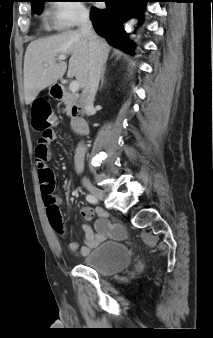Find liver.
Returning <instances> with one entry per match:
<instances>
[{"mask_svg": "<svg viewBox=\"0 0 213 338\" xmlns=\"http://www.w3.org/2000/svg\"><path fill=\"white\" fill-rule=\"evenodd\" d=\"M100 41L108 55V43L103 39ZM69 54L67 75L74 76L79 86L84 88L89 77L90 51L88 40L80 31L63 32L28 45L24 57V97L27 105L35 100L40 91L56 84L64 75L67 64L63 61L57 63L56 57Z\"/></svg>", "mask_w": 213, "mask_h": 338, "instance_id": "liver-1", "label": "liver"}]
</instances>
